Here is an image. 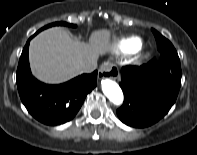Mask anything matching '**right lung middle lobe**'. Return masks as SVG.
I'll return each mask as SVG.
<instances>
[{"label": "right lung middle lobe", "instance_id": "obj_1", "mask_svg": "<svg viewBox=\"0 0 197 155\" xmlns=\"http://www.w3.org/2000/svg\"><path fill=\"white\" fill-rule=\"evenodd\" d=\"M59 25L76 27V25L69 24V23H66V22H54V23L48 24V25H46L45 27L41 28L38 32H40V31H42L43 29H46V28H48V27L59 26Z\"/></svg>", "mask_w": 197, "mask_h": 155}]
</instances>
